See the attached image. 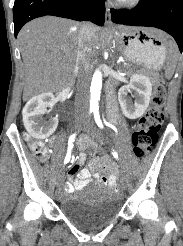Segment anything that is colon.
<instances>
[{
  "instance_id": "5ec220e1",
  "label": "colon",
  "mask_w": 183,
  "mask_h": 246,
  "mask_svg": "<svg viewBox=\"0 0 183 246\" xmlns=\"http://www.w3.org/2000/svg\"><path fill=\"white\" fill-rule=\"evenodd\" d=\"M166 100V88L158 83L154 88L152 103L149 111L140 118L138 126L133 133L134 155L142 158L156 143L158 131L164 119L163 107ZM29 146L33 154L39 158H45L47 149L41 141H30ZM100 157L107 156V150L101 149Z\"/></svg>"
}]
</instances>
